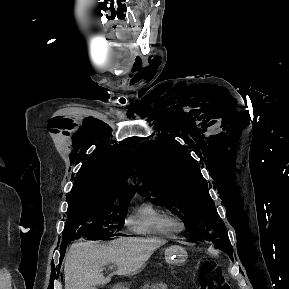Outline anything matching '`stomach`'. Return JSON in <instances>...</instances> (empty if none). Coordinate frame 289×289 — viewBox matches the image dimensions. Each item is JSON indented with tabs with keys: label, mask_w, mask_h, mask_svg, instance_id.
Masks as SVG:
<instances>
[{
	"label": "stomach",
	"mask_w": 289,
	"mask_h": 289,
	"mask_svg": "<svg viewBox=\"0 0 289 289\" xmlns=\"http://www.w3.org/2000/svg\"><path fill=\"white\" fill-rule=\"evenodd\" d=\"M164 255L166 262L174 265L184 264L188 257L185 248L180 245L170 246L165 250ZM115 289H126V288L117 287Z\"/></svg>",
	"instance_id": "0dacf381"
}]
</instances>
